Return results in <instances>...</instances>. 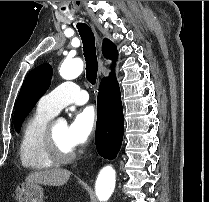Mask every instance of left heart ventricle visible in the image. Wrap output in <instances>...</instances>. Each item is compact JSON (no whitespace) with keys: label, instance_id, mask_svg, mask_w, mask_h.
<instances>
[{"label":"left heart ventricle","instance_id":"left-heart-ventricle-1","mask_svg":"<svg viewBox=\"0 0 209 202\" xmlns=\"http://www.w3.org/2000/svg\"><path fill=\"white\" fill-rule=\"evenodd\" d=\"M67 128L68 126L64 122L54 123V133H55L56 139L59 145L65 150L73 149V147H71V145L67 141V137H66Z\"/></svg>","mask_w":209,"mask_h":202}]
</instances>
